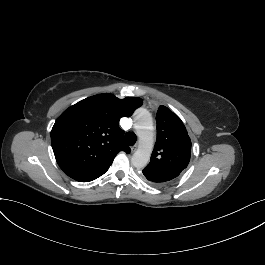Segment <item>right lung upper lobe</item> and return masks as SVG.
Returning <instances> with one entry per match:
<instances>
[{"instance_id": "right-lung-upper-lobe-1", "label": "right lung upper lobe", "mask_w": 265, "mask_h": 265, "mask_svg": "<svg viewBox=\"0 0 265 265\" xmlns=\"http://www.w3.org/2000/svg\"><path fill=\"white\" fill-rule=\"evenodd\" d=\"M143 104L138 97L119 99L112 94L86 98L65 110L51 131V143L60 168L80 182L103 175L120 151L130 152L123 144L118 122L129 117Z\"/></svg>"}]
</instances>
